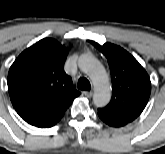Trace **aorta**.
<instances>
[{
	"instance_id": "obj_1",
	"label": "aorta",
	"mask_w": 165,
	"mask_h": 154,
	"mask_svg": "<svg viewBox=\"0 0 165 154\" xmlns=\"http://www.w3.org/2000/svg\"><path fill=\"white\" fill-rule=\"evenodd\" d=\"M78 65L95 85L94 104L97 107L106 106L111 99V88L109 77L104 67L90 55H82L78 60Z\"/></svg>"
}]
</instances>
